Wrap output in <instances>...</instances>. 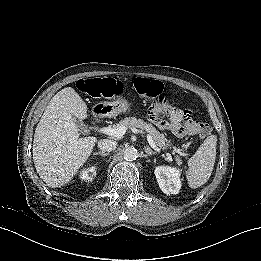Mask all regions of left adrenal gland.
I'll return each instance as SVG.
<instances>
[{
	"mask_svg": "<svg viewBox=\"0 0 261 261\" xmlns=\"http://www.w3.org/2000/svg\"><path fill=\"white\" fill-rule=\"evenodd\" d=\"M144 149H145V152H146L148 155H156V154H157V152L153 151V150H152L150 147H148V146H145Z\"/></svg>",
	"mask_w": 261,
	"mask_h": 261,
	"instance_id": "a2214340",
	"label": "left adrenal gland"
}]
</instances>
